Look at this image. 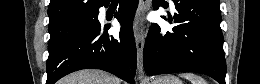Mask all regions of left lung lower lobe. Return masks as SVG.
Returning <instances> with one entry per match:
<instances>
[{"instance_id": "left-lung-lower-lobe-1", "label": "left lung lower lobe", "mask_w": 260, "mask_h": 84, "mask_svg": "<svg viewBox=\"0 0 260 84\" xmlns=\"http://www.w3.org/2000/svg\"><path fill=\"white\" fill-rule=\"evenodd\" d=\"M173 2L177 10L174 23L179 25L167 33L162 32L159 25H151L143 54L146 73L197 72L225 84L226 61L219 0ZM153 3L158 9L163 0H154Z\"/></svg>"}]
</instances>
